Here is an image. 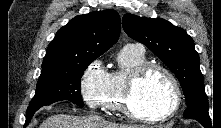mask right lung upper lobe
<instances>
[{
    "mask_svg": "<svg viewBox=\"0 0 221 128\" xmlns=\"http://www.w3.org/2000/svg\"><path fill=\"white\" fill-rule=\"evenodd\" d=\"M120 30V16L115 10L76 16L50 42L42 70L99 57L117 42Z\"/></svg>",
    "mask_w": 221,
    "mask_h": 128,
    "instance_id": "obj_1",
    "label": "right lung upper lobe"
}]
</instances>
